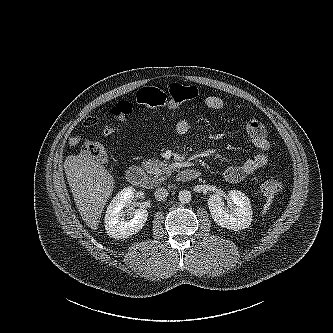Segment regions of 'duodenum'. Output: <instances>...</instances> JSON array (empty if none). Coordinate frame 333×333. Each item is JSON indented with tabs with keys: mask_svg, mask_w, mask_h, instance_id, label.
I'll list each match as a JSON object with an SVG mask.
<instances>
[{
	"mask_svg": "<svg viewBox=\"0 0 333 333\" xmlns=\"http://www.w3.org/2000/svg\"><path fill=\"white\" fill-rule=\"evenodd\" d=\"M199 176L200 172L194 168H185L178 174V178L182 182L193 181ZM126 177L128 181L134 186L153 188L157 185V182L139 166L129 167L126 172Z\"/></svg>",
	"mask_w": 333,
	"mask_h": 333,
	"instance_id": "1",
	"label": "duodenum"
}]
</instances>
